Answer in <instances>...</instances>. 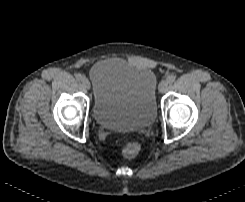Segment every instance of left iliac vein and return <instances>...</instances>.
I'll return each mask as SVG.
<instances>
[{
  "instance_id": "4c4485c4",
  "label": "left iliac vein",
  "mask_w": 245,
  "mask_h": 202,
  "mask_svg": "<svg viewBox=\"0 0 245 202\" xmlns=\"http://www.w3.org/2000/svg\"><path fill=\"white\" fill-rule=\"evenodd\" d=\"M167 87H168V82L163 80L160 82L158 89L162 93V92L166 91Z\"/></svg>"
}]
</instances>
